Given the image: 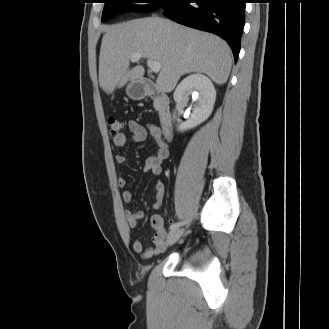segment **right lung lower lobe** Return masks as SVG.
I'll return each instance as SVG.
<instances>
[{"label":"right lung lower lobe","mask_w":329,"mask_h":329,"mask_svg":"<svg viewBox=\"0 0 329 329\" xmlns=\"http://www.w3.org/2000/svg\"><path fill=\"white\" fill-rule=\"evenodd\" d=\"M246 0H170L164 14L171 20L214 33L230 45L234 59L240 52Z\"/></svg>","instance_id":"right-lung-lower-lobe-1"}]
</instances>
